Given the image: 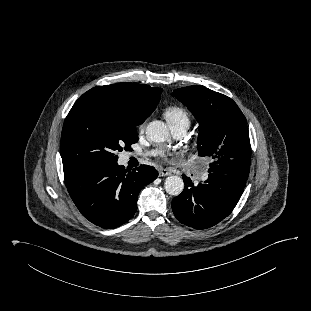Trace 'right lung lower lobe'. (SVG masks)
I'll list each match as a JSON object with an SVG mask.
<instances>
[{
	"label": "right lung lower lobe",
	"mask_w": 311,
	"mask_h": 311,
	"mask_svg": "<svg viewBox=\"0 0 311 311\" xmlns=\"http://www.w3.org/2000/svg\"><path fill=\"white\" fill-rule=\"evenodd\" d=\"M67 190L81 214L102 228L127 222L137 210L140 190L153 182L158 172L141 165L132 171L117 162L63 165Z\"/></svg>",
	"instance_id": "1"
}]
</instances>
